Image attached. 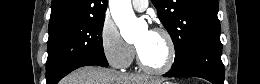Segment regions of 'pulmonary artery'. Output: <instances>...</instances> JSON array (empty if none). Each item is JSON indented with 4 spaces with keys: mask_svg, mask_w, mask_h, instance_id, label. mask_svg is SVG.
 <instances>
[{
    "mask_svg": "<svg viewBox=\"0 0 260 84\" xmlns=\"http://www.w3.org/2000/svg\"><path fill=\"white\" fill-rule=\"evenodd\" d=\"M132 6L136 11L142 12L144 11L148 6V1H132Z\"/></svg>",
    "mask_w": 260,
    "mask_h": 84,
    "instance_id": "pulmonary-artery-1",
    "label": "pulmonary artery"
}]
</instances>
